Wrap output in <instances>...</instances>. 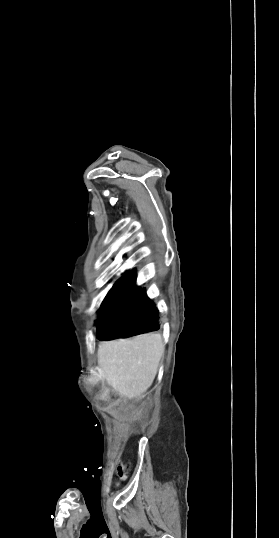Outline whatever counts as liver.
Wrapping results in <instances>:
<instances>
[{
	"instance_id": "liver-1",
	"label": "liver",
	"mask_w": 279,
	"mask_h": 538,
	"mask_svg": "<svg viewBox=\"0 0 279 538\" xmlns=\"http://www.w3.org/2000/svg\"><path fill=\"white\" fill-rule=\"evenodd\" d=\"M164 346L161 334L101 342L98 364L107 384L121 398H141L152 386Z\"/></svg>"
}]
</instances>
